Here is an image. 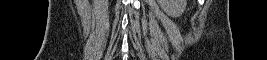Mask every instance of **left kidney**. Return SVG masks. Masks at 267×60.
Segmentation results:
<instances>
[{
    "instance_id": "left-kidney-1",
    "label": "left kidney",
    "mask_w": 267,
    "mask_h": 60,
    "mask_svg": "<svg viewBox=\"0 0 267 60\" xmlns=\"http://www.w3.org/2000/svg\"><path fill=\"white\" fill-rule=\"evenodd\" d=\"M162 10L171 17H180L185 9L186 0H157Z\"/></svg>"
}]
</instances>
